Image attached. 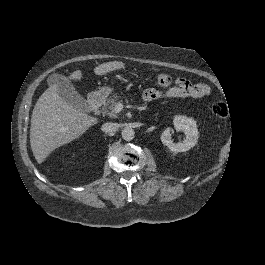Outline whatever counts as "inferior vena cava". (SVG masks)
<instances>
[{"mask_svg": "<svg viewBox=\"0 0 265 265\" xmlns=\"http://www.w3.org/2000/svg\"><path fill=\"white\" fill-rule=\"evenodd\" d=\"M102 130L107 133H115L119 130V124L117 123H105L102 126Z\"/></svg>", "mask_w": 265, "mask_h": 265, "instance_id": "602c4592", "label": "inferior vena cava"}]
</instances>
